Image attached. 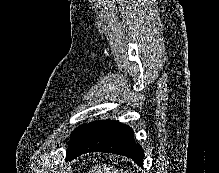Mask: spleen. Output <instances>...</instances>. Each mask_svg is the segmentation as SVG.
<instances>
[{
  "label": "spleen",
  "instance_id": "spleen-1",
  "mask_svg": "<svg viewBox=\"0 0 219 173\" xmlns=\"http://www.w3.org/2000/svg\"><path fill=\"white\" fill-rule=\"evenodd\" d=\"M96 173H119V170L114 169L112 167H103L102 169L98 168ZM121 173H127V172L121 171Z\"/></svg>",
  "mask_w": 219,
  "mask_h": 173
}]
</instances>
